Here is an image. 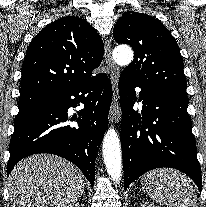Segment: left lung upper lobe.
Returning a JSON list of instances; mask_svg holds the SVG:
<instances>
[{
    "label": "left lung upper lobe",
    "instance_id": "obj_1",
    "mask_svg": "<svg viewBox=\"0 0 206 207\" xmlns=\"http://www.w3.org/2000/svg\"><path fill=\"white\" fill-rule=\"evenodd\" d=\"M116 42L132 46L135 57L123 75L156 89L187 96L183 60L178 44L157 19L138 12H126L117 21Z\"/></svg>",
    "mask_w": 206,
    "mask_h": 207
}]
</instances>
